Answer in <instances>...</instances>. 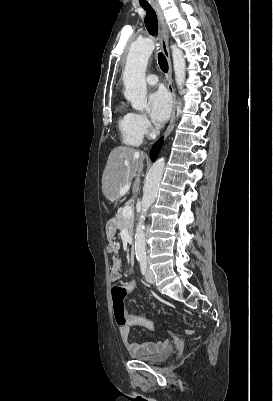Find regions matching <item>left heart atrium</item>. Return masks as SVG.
I'll use <instances>...</instances> for the list:
<instances>
[{
	"mask_svg": "<svg viewBox=\"0 0 273 401\" xmlns=\"http://www.w3.org/2000/svg\"><path fill=\"white\" fill-rule=\"evenodd\" d=\"M149 115L158 125L164 124L170 114L171 103L163 92H155L148 97Z\"/></svg>",
	"mask_w": 273,
	"mask_h": 401,
	"instance_id": "39dd6f15",
	"label": "left heart atrium"
}]
</instances>
